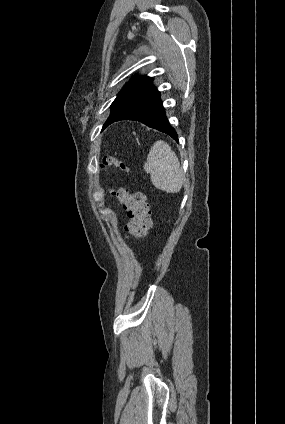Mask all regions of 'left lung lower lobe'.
I'll return each instance as SVG.
<instances>
[{
    "instance_id": "left-lung-lower-lobe-1",
    "label": "left lung lower lobe",
    "mask_w": 285,
    "mask_h": 424,
    "mask_svg": "<svg viewBox=\"0 0 285 424\" xmlns=\"http://www.w3.org/2000/svg\"><path fill=\"white\" fill-rule=\"evenodd\" d=\"M120 120L139 121L148 127L170 135L178 142V135L166 118L160 93L152 83L118 104L112 110L103 128Z\"/></svg>"
}]
</instances>
